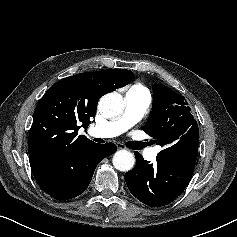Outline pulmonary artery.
Returning <instances> with one entry per match:
<instances>
[{
    "label": "pulmonary artery",
    "mask_w": 237,
    "mask_h": 237,
    "mask_svg": "<svg viewBox=\"0 0 237 237\" xmlns=\"http://www.w3.org/2000/svg\"><path fill=\"white\" fill-rule=\"evenodd\" d=\"M150 103L151 97L148 93L129 90L125 95L123 114L106 124L91 126L89 134L99 138H111L123 134L144 116ZM159 150L160 147L148 149L144 152V156L149 160H153Z\"/></svg>",
    "instance_id": "1"
}]
</instances>
